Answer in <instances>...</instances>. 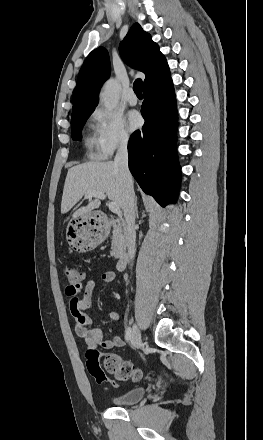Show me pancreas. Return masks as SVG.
<instances>
[{"mask_svg": "<svg viewBox=\"0 0 263 440\" xmlns=\"http://www.w3.org/2000/svg\"><path fill=\"white\" fill-rule=\"evenodd\" d=\"M125 242H126L125 231L122 228V225H121L120 221H118V224L114 225V227H113L112 239H111L112 255L115 258H119L120 257L121 251H122V248L125 245Z\"/></svg>", "mask_w": 263, "mask_h": 440, "instance_id": "obj_1", "label": "pancreas"}]
</instances>
